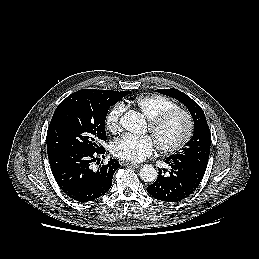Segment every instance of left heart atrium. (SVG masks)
Segmentation results:
<instances>
[{"instance_id": "1", "label": "left heart atrium", "mask_w": 259, "mask_h": 259, "mask_svg": "<svg viewBox=\"0 0 259 259\" xmlns=\"http://www.w3.org/2000/svg\"><path fill=\"white\" fill-rule=\"evenodd\" d=\"M155 151V142L150 136L136 137L125 134L112 145V153L130 162H141Z\"/></svg>"}]
</instances>
